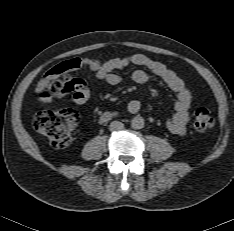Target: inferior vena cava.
<instances>
[{
    "mask_svg": "<svg viewBox=\"0 0 234 231\" xmlns=\"http://www.w3.org/2000/svg\"><path fill=\"white\" fill-rule=\"evenodd\" d=\"M109 128H110V131H119L124 128V124L120 121H112L110 123Z\"/></svg>",
    "mask_w": 234,
    "mask_h": 231,
    "instance_id": "1",
    "label": "inferior vena cava"
}]
</instances>
